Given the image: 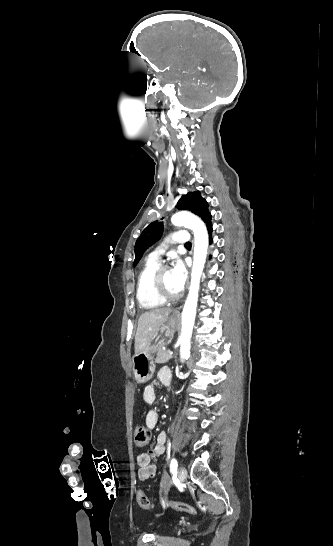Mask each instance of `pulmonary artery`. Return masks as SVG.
Instances as JSON below:
<instances>
[{
  "label": "pulmonary artery",
  "mask_w": 333,
  "mask_h": 546,
  "mask_svg": "<svg viewBox=\"0 0 333 546\" xmlns=\"http://www.w3.org/2000/svg\"><path fill=\"white\" fill-rule=\"evenodd\" d=\"M170 241L172 243L186 244L189 241V234L185 230H180V231L174 232L170 236ZM162 253H163V248L160 247L157 250H155L154 252H152L149 255V258L159 262Z\"/></svg>",
  "instance_id": "e3ab8cb5"
}]
</instances>
